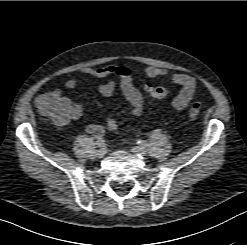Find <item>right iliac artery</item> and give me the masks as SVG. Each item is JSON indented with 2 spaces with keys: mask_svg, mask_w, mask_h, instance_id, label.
<instances>
[{
  "mask_svg": "<svg viewBox=\"0 0 247 245\" xmlns=\"http://www.w3.org/2000/svg\"><path fill=\"white\" fill-rule=\"evenodd\" d=\"M96 145H97L99 148L104 147L105 141H104V138H103L102 136H97Z\"/></svg>",
  "mask_w": 247,
  "mask_h": 245,
  "instance_id": "right-iliac-artery-1",
  "label": "right iliac artery"
}]
</instances>
